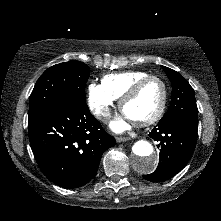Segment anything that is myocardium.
<instances>
[{
  "label": "myocardium",
  "mask_w": 221,
  "mask_h": 221,
  "mask_svg": "<svg viewBox=\"0 0 221 221\" xmlns=\"http://www.w3.org/2000/svg\"><path fill=\"white\" fill-rule=\"evenodd\" d=\"M151 80H156L160 83L161 87H162V98H161V102L160 105L157 109V111L150 116L147 119L144 120H132L133 123L137 126H149L155 122H157L163 115L165 108H166V104H167V98H168V89H167V85L165 83V81L156 75H148L146 77L141 78L140 80H138L120 99L119 102V108L121 110V112L124 114V108L125 105L132 100L138 93L139 91L142 89V87L148 83Z\"/></svg>",
  "instance_id": "myocardium-1"
}]
</instances>
